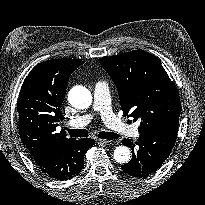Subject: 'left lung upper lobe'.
<instances>
[{
  "instance_id": "1",
  "label": "left lung upper lobe",
  "mask_w": 205,
  "mask_h": 205,
  "mask_svg": "<svg viewBox=\"0 0 205 205\" xmlns=\"http://www.w3.org/2000/svg\"><path fill=\"white\" fill-rule=\"evenodd\" d=\"M99 62L117 86L123 115L140 120L139 132L179 125L177 87L155 56L134 50Z\"/></svg>"
}]
</instances>
